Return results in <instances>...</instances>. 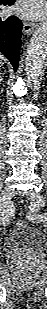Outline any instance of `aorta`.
I'll use <instances>...</instances> for the list:
<instances>
[{"instance_id": "762f6f07", "label": "aorta", "mask_w": 47, "mask_h": 309, "mask_svg": "<svg viewBox=\"0 0 47 309\" xmlns=\"http://www.w3.org/2000/svg\"><path fill=\"white\" fill-rule=\"evenodd\" d=\"M47 58V26L40 24L34 31L25 55V73L29 83L37 84Z\"/></svg>"}]
</instances>
